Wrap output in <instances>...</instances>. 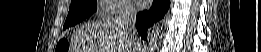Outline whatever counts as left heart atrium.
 I'll return each mask as SVG.
<instances>
[{
  "label": "left heart atrium",
  "instance_id": "obj_1",
  "mask_svg": "<svg viewBox=\"0 0 261 52\" xmlns=\"http://www.w3.org/2000/svg\"><path fill=\"white\" fill-rule=\"evenodd\" d=\"M139 4L141 5V7H146L147 1H139Z\"/></svg>",
  "mask_w": 261,
  "mask_h": 52
}]
</instances>
